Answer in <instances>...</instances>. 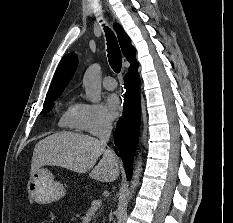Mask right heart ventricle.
<instances>
[{
	"mask_svg": "<svg viewBox=\"0 0 233 223\" xmlns=\"http://www.w3.org/2000/svg\"><path fill=\"white\" fill-rule=\"evenodd\" d=\"M80 104L71 102L67 104L60 112L57 125L63 130H80Z\"/></svg>",
	"mask_w": 233,
	"mask_h": 223,
	"instance_id": "1",
	"label": "right heart ventricle"
}]
</instances>
